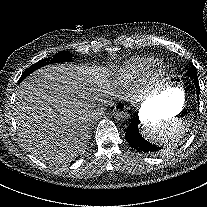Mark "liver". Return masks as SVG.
<instances>
[{
	"mask_svg": "<svg viewBox=\"0 0 207 207\" xmlns=\"http://www.w3.org/2000/svg\"><path fill=\"white\" fill-rule=\"evenodd\" d=\"M97 82L89 67L55 64L20 83L14 104L17 135L32 154L64 157L81 150L94 120L97 99L91 93Z\"/></svg>",
	"mask_w": 207,
	"mask_h": 207,
	"instance_id": "1",
	"label": "liver"
}]
</instances>
